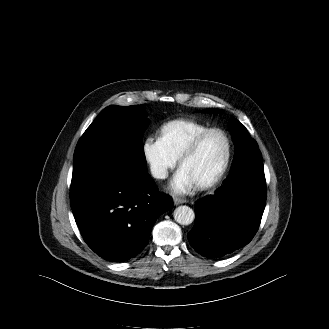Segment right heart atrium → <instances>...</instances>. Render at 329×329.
<instances>
[{"label":"right heart atrium","instance_id":"obj_1","mask_svg":"<svg viewBox=\"0 0 329 329\" xmlns=\"http://www.w3.org/2000/svg\"><path fill=\"white\" fill-rule=\"evenodd\" d=\"M143 155L152 175L159 180L165 179L177 164L160 138L147 137L143 142Z\"/></svg>","mask_w":329,"mask_h":329}]
</instances>
